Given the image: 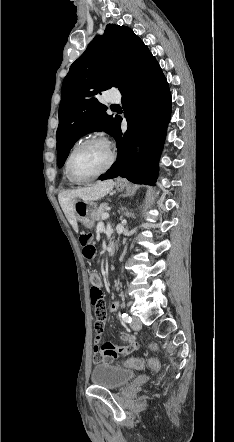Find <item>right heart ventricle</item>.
Segmentation results:
<instances>
[{"mask_svg": "<svg viewBox=\"0 0 234 442\" xmlns=\"http://www.w3.org/2000/svg\"><path fill=\"white\" fill-rule=\"evenodd\" d=\"M65 177H66V179L68 180L69 183H71V184H75V182H73V181L70 179V177L68 176V174H67V170H66V167H65Z\"/></svg>", "mask_w": 234, "mask_h": 442, "instance_id": "1", "label": "right heart ventricle"}]
</instances>
